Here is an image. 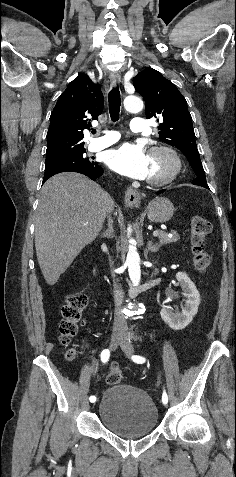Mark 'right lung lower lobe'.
I'll use <instances>...</instances> for the list:
<instances>
[{
  "label": "right lung lower lobe",
  "mask_w": 236,
  "mask_h": 477,
  "mask_svg": "<svg viewBox=\"0 0 236 477\" xmlns=\"http://www.w3.org/2000/svg\"><path fill=\"white\" fill-rule=\"evenodd\" d=\"M66 172L81 173V174H84V175L88 176L92 180H96L97 178H99L103 174V169L99 165H97L92 169L77 168V169H72V170H69V171H66ZM55 174H57V173L45 174L44 178H43V183Z\"/></svg>",
  "instance_id": "obj_1"
}]
</instances>
